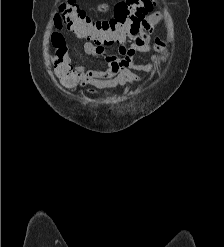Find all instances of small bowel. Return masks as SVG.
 I'll list each match as a JSON object with an SVG mask.
<instances>
[{
  "label": "small bowel",
  "mask_w": 224,
  "mask_h": 247,
  "mask_svg": "<svg viewBox=\"0 0 224 247\" xmlns=\"http://www.w3.org/2000/svg\"><path fill=\"white\" fill-rule=\"evenodd\" d=\"M106 6L102 5L101 10H105ZM163 15L160 12H154L147 16L141 23L136 33L129 34L119 38L113 42H95L87 40L84 44V50L87 57L93 56L103 59L107 62L106 70H89L83 74L82 82L91 85L93 88L88 90V94L99 96L101 89L113 87L133 86L143 81L135 72L153 73L164 58L160 55H153L152 62L141 64L135 62L137 53L149 51L166 52L167 44L159 37L151 38L154 27L160 23ZM51 24L54 27L49 44L56 48L57 62L69 63V49L65 38L61 33L64 26L63 21L56 11L52 15ZM117 45L116 53H111L108 46Z\"/></svg>",
  "instance_id": "c3829d8e"
}]
</instances>
